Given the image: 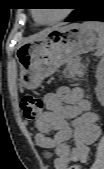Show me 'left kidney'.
Instances as JSON below:
<instances>
[{"label":"left kidney","mask_w":104,"mask_h":169,"mask_svg":"<svg viewBox=\"0 0 104 169\" xmlns=\"http://www.w3.org/2000/svg\"><path fill=\"white\" fill-rule=\"evenodd\" d=\"M98 85L95 88L98 100L102 103L104 101V79H103V62L97 68Z\"/></svg>","instance_id":"left-kidney-1"}]
</instances>
